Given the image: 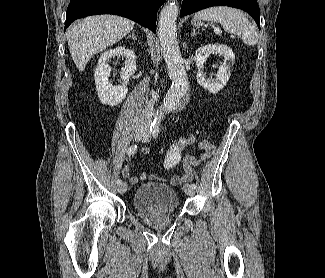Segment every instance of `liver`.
Wrapping results in <instances>:
<instances>
[{
	"label": "liver",
	"instance_id": "obj_1",
	"mask_svg": "<svg viewBox=\"0 0 325 278\" xmlns=\"http://www.w3.org/2000/svg\"><path fill=\"white\" fill-rule=\"evenodd\" d=\"M135 23L116 15H96L75 23L67 32L71 57L82 72L98 52L116 43L132 31Z\"/></svg>",
	"mask_w": 325,
	"mask_h": 278
}]
</instances>
